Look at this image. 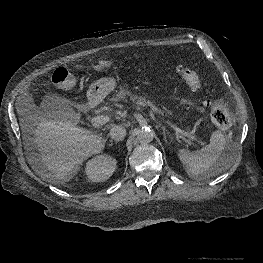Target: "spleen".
I'll return each instance as SVG.
<instances>
[{"mask_svg": "<svg viewBox=\"0 0 263 263\" xmlns=\"http://www.w3.org/2000/svg\"><path fill=\"white\" fill-rule=\"evenodd\" d=\"M234 150V144L226 139L223 132L217 130L212 133L208 145L195 152L180 149L178 158L185 166L188 176L199 179L208 175L212 167H215L218 172L229 168L233 162Z\"/></svg>", "mask_w": 263, "mask_h": 263, "instance_id": "3e777b00", "label": "spleen"}]
</instances>
